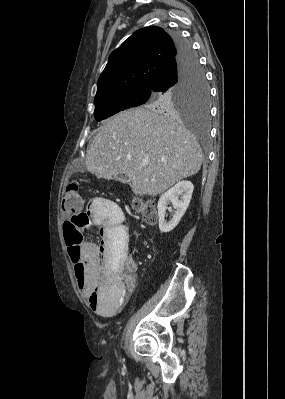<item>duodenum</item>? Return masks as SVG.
I'll use <instances>...</instances> for the list:
<instances>
[{"instance_id":"duodenum-1","label":"duodenum","mask_w":285,"mask_h":399,"mask_svg":"<svg viewBox=\"0 0 285 399\" xmlns=\"http://www.w3.org/2000/svg\"><path fill=\"white\" fill-rule=\"evenodd\" d=\"M104 219H108V215H105Z\"/></svg>"}]
</instances>
